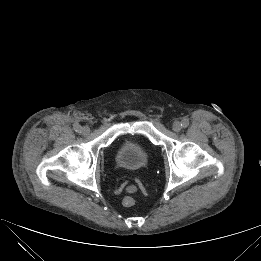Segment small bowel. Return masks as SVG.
I'll list each match as a JSON object with an SVG mask.
<instances>
[{"label":"small bowel","instance_id":"obj_1","mask_svg":"<svg viewBox=\"0 0 261 261\" xmlns=\"http://www.w3.org/2000/svg\"><path fill=\"white\" fill-rule=\"evenodd\" d=\"M135 190H136V188L134 186H128L127 187V191L130 192V193L134 192Z\"/></svg>","mask_w":261,"mask_h":261}]
</instances>
